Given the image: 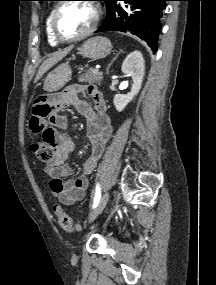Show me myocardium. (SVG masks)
Masks as SVG:
<instances>
[{
  "label": "myocardium",
  "instance_id": "f54148a6",
  "mask_svg": "<svg viewBox=\"0 0 216 285\" xmlns=\"http://www.w3.org/2000/svg\"><path fill=\"white\" fill-rule=\"evenodd\" d=\"M70 3H74V2H62L58 4L56 8L54 9L52 17H51L50 26H51L52 35L58 42H61V43H71V42H76V41H80V40L87 38L96 30L99 24L100 18H101V8L97 3L92 2V1L84 2V3L90 4L94 9L95 15H94L93 23L85 32L79 35L73 36V37H65L61 35L60 32L58 31L57 21H58V17H59L61 10Z\"/></svg>",
  "mask_w": 216,
  "mask_h": 285
}]
</instances>
